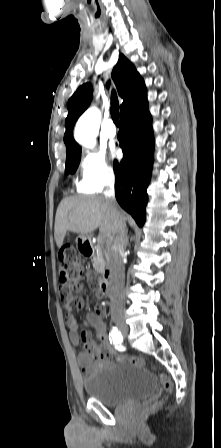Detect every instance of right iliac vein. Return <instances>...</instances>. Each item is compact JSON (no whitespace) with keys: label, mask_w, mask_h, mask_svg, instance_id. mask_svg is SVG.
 <instances>
[{"label":"right iliac vein","mask_w":221,"mask_h":448,"mask_svg":"<svg viewBox=\"0 0 221 448\" xmlns=\"http://www.w3.org/2000/svg\"><path fill=\"white\" fill-rule=\"evenodd\" d=\"M115 323L116 326L118 328V330L124 335L127 336L128 335V327L119 319H115Z\"/></svg>","instance_id":"right-iliac-vein-1"}]
</instances>
